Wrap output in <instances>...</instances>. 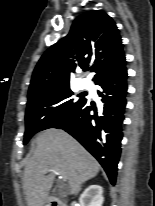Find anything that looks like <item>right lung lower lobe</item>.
<instances>
[{
  "label": "right lung lower lobe",
  "instance_id": "1",
  "mask_svg": "<svg viewBox=\"0 0 155 206\" xmlns=\"http://www.w3.org/2000/svg\"><path fill=\"white\" fill-rule=\"evenodd\" d=\"M127 70L125 62L95 83L102 91L103 108L98 114L93 103L84 99L72 113L52 128L63 129L77 139L102 165L115 184L120 157L122 122L126 106ZM94 114H91V111Z\"/></svg>",
  "mask_w": 155,
  "mask_h": 206
}]
</instances>
